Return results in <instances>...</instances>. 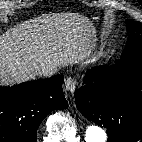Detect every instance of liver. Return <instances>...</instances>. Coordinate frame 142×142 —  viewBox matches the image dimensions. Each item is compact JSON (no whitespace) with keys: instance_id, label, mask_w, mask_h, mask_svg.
I'll return each mask as SVG.
<instances>
[{"instance_id":"1","label":"liver","mask_w":142,"mask_h":142,"mask_svg":"<svg viewBox=\"0 0 142 142\" xmlns=\"http://www.w3.org/2000/svg\"><path fill=\"white\" fill-rule=\"evenodd\" d=\"M90 21L76 13L43 15L0 35V84L35 79V68L75 63L90 38Z\"/></svg>"}]
</instances>
